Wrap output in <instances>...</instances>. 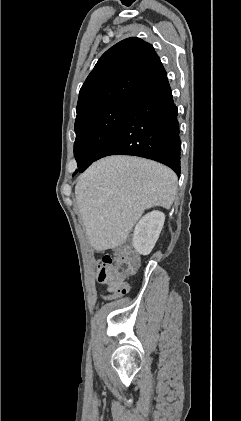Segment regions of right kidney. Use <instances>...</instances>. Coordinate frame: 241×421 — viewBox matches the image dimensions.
I'll return each mask as SVG.
<instances>
[{"instance_id":"obj_1","label":"right kidney","mask_w":241,"mask_h":421,"mask_svg":"<svg viewBox=\"0 0 241 421\" xmlns=\"http://www.w3.org/2000/svg\"><path fill=\"white\" fill-rule=\"evenodd\" d=\"M165 221L164 213L152 211L143 216L135 226L133 246L142 255H148L155 246Z\"/></svg>"}]
</instances>
